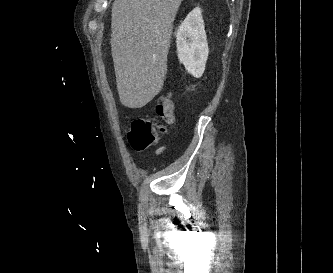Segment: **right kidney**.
Listing matches in <instances>:
<instances>
[{"label": "right kidney", "instance_id": "1", "mask_svg": "<svg viewBox=\"0 0 333 273\" xmlns=\"http://www.w3.org/2000/svg\"><path fill=\"white\" fill-rule=\"evenodd\" d=\"M176 43L178 58L185 69L194 77H201L209 48L199 7L193 9L179 26Z\"/></svg>", "mask_w": 333, "mask_h": 273}]
</instances>
